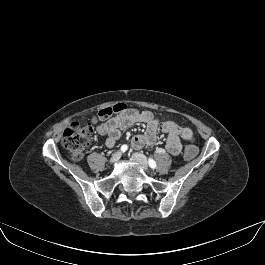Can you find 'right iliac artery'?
I'll return each instance as SVG.
<instances>
[{
	"mask_svg": "<svg viewBox=\"0 0 265 265\" xmlns=\"http://www.w3.org/2000/svg\"><path fill=\"white\" fill-rule=\"evenodd\" d=\"M128 150V146L127 145H122L121 147V152H126Z\"/></svg>",
	"mask_w": 265,
	"mask_h": 265,
	"instance_id": "obj_1",
	"label": "right iliac artery"
}]
</instances>
